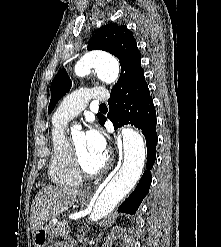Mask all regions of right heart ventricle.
<instances>
[{"instance_id":"1","label":"right heart ventricle","mask_w":221,"mask_h":247,"mask_svg":"<svg viewBox=\"0 0 221 247\" xmlns=\"http://www.w3.org/2000/svg\"><path fill=\"white\" fill-rule=\"evenodd\" d=\"M64 125L65 123L53 120L48 175L58 186H76L81 182V176L74 167L69 140L64 134Z\"/></svg>"}]
</instances>
